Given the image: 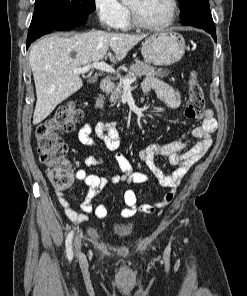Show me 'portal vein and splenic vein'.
Returning a JSON list of instances; mask_svg holds the SVG:
<instances>
[{"label":"portal vein and splenic vein","mask_w":247,"mask_h":296,"mask_svg":"<svg viewBox=\"0 0 247 296\" xmlns=\"http://www.w3.org/2000/svg\"><path fill=\"white\" fill-rule=\"evenodd\" d=\"M90 69H97V70L108 72V73H115V69L112 68L110 65L106 64L104 61L93 62L91 64L85 65L84 67L76 68V69H74V73L84 74V73L88 72ZM135 81H136L135 78H133V79L122 78L121 79L124 89H130L131 84Z\"/></svg>","instance_id":"1"}]
</instances>
